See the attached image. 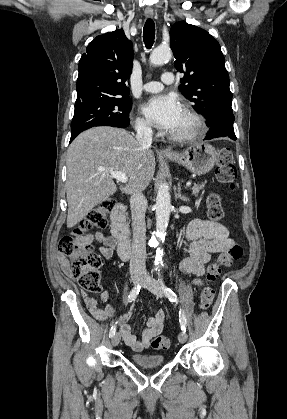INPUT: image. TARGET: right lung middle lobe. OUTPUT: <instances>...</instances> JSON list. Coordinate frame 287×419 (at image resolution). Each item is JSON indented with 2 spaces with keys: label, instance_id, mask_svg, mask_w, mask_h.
Segmentation results:
<instances>
[{
  "label": "right lung middle lobe",
  "instance_id": "obj_1",
  "mask_svg": "<svg viewBox=\"0 0 287 419\" xmlns=\"http://www.w3.org/2000/svg\"><path fill=\"white\" fill-rule=\"evenodd\" d=\"M131 107L129 97L103 99L77 107L71 123V136L97 125L127 127Z\"/></svg>",
  "mask_w": 287,
  "mask_h": 419
}]
</instances>
